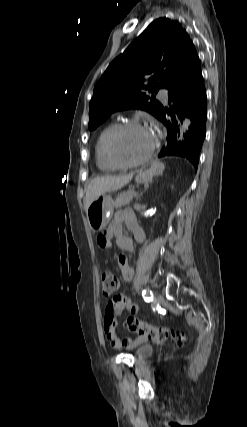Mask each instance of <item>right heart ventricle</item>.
<instances>
[{"label":"right heart ventricle","instance_id":"obj_1","mask_svg":"<svg viewBox=\"0 0 247 427\" xmlns=\"http://www.w3.org/2000/svg\"><path fill=\"white\" fill-rule=\"evenodd\" d=\"M117 125L116 122H111L105 126L99 133L95 143V160L97 167L102 172H113L119 169L108 160L105 151L107 138Z\"/></svg>","mask_w":247,"mask_h":427}]
</instances>
